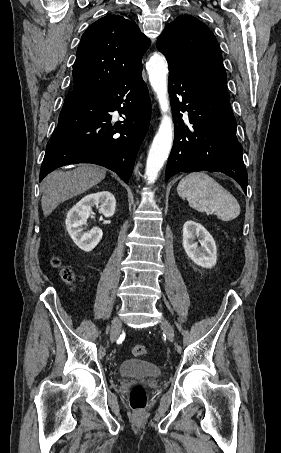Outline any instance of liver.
<instances>
[{
  "mask_svg": "<svg viewBox=\"0 0 281 453\" xmlns=\"http://www.w3.org/2000/svg\"><path fill=\"white\" fill-rule=\"evenodd\" d=\"M106 170L107 168L96 164H78L77 168L67 172H50L42 182L41 206L44 216L51 214L60 202L82 194L101 182L106 176Z\"/></svg>",
  "mask_w": 281,
  "mask_h": 453,
  "instance_id": "liver-1",
  "label": "liver"
}]
</instances>
